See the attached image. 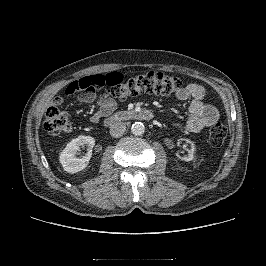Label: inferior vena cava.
Instances as JSON below:
<instances>
[{"instance_id":"1","label":"inferior vena cava","mask_w":266,"mask_h":266,"mask_svg":"<svg viewBox=\"0 0 266 266\" xmlns=\"http://www.w3.org/2000/svg\"><path fill=\"white\" fill-rule=\"evenodd\" d=\"M126 130V124L124 122H116L110 128V135L114 138L121 137Z\"/></svg>"}]
</instances>
